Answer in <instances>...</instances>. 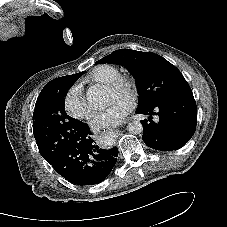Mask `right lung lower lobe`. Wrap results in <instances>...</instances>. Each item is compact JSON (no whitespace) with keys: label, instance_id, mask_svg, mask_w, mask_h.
Here are the masks:
<instances>
[{"label":"right lung lower lobe","instance_id":"obj_1","mask_svg":"<svg viewBox=\"0 0 227 227\" xmlns=\"http://www.w3.org/2000/svg\"><path fill=\"white\" fill-rule=\"evenodd\" d=\"M91 135L88 125L80 121L74 139L55 158L47 160L56 172L73 184L100 183L117 162L118 148L101 149Z\"/></svg>","mask_w":227,"mask_h":227}]
</instances>
